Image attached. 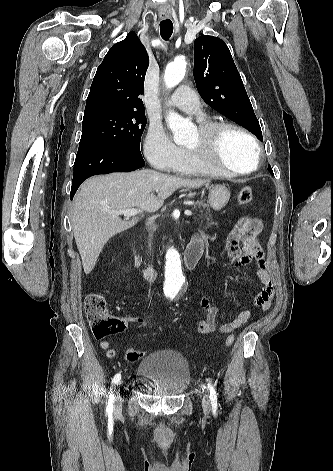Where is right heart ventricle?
<instances>
[{
  "label": "right heart ventricle",
  "instance_id": "1",
  "mask_svg": "<svg viewBox=\"0 0 333 471\" xmlns=\"http://www.w3.org/2000/svg\"><path fill=\"white\" fill-rule=\"evenodd\" d=\"M174 172L186 176H214L218 175L211 169L195 161L192 156L185 151L184 158Z\"/></svg>",
  "mask_w": 333,
  "mask_h": 471
}]
</instances>
